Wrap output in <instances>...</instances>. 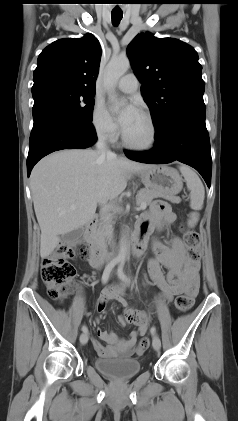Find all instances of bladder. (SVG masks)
I'll return each instance as SVG.
<instances>
[{"mask_svg": "<svg viewBox=\"0 0 238 421\" xmlns=\"http://www.w3.org/2000/svg\"><path fill=\"white\" fill-rule=\"evenodd\" d=\"M95 368L102 374L117 380H127L141 370L138 360L121 357H99L94 361Z\"/></svg>", "mask_w": 238, "mask_h": 421, "instance_id": "1", "label": "bladder"}]
</instances>
